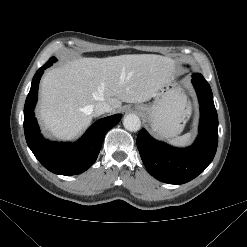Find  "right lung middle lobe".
Wrapping results in <instances>:
<instances>
[{"instance_id": "dd1d6c3e", "label": "right lung middle lobe", "mask_w": 247, "mask_h": 247, "mask_svg": "<svg viewBox=\"0 0 247 247\" xmlns=\"http://www.w3.org/2000/svg\"><path fill=\"white\" fill-rule=\"evenodd\" d=\"M57 59L55 57H51L46 64H49V66H51Z\"/></svg>"}]
</instances>
